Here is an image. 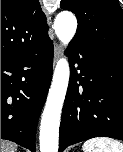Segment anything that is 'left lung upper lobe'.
<instances>
[{
    "label": "left lung upper lobe",
    "instance_id": "5c2ea615",
    "mask_svg": "<svg viewBox=\"0 0 123 152\" xmlns=\"http://www.w3.org/2000/svg\"><path fill=\"white\" fill-rule=\"evenodd\" d=\"M78 21L73 40L123 59V10L118 0H62Z\"/></svg>",
    "mask_w": 123,
    "mask_h": 152
}]
</instances>
